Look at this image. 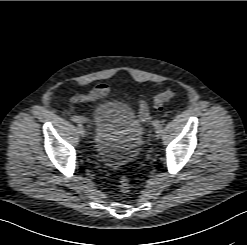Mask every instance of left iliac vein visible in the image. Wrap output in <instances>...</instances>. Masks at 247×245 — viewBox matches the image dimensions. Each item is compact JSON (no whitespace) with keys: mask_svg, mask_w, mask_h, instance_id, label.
<instances>
[{"mask_svg":"<svg viewBox=\"0 0 247 245\" xmlns=\"http://www.w3.org/2000/svg\"><path fill=\"white\" fill-rule=\"evenodd\" d=\"M155 133L157 137H160L162 134V127H155Z\"/></svg>","mask_w":247,"mask_h":245,"instance_id":"4c4485c4","label":"left iliac vein"}]
</instances>
